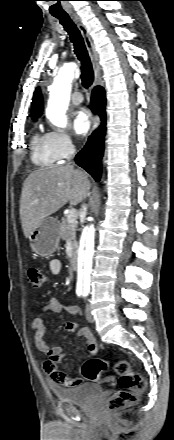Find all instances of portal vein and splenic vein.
Masks as SVG:
<instances>
[{"label":"portal vein and splenic vein","mask_w":174,"mask_h":440,"mask_svg":"<svg viewBox=\"0 0 174 440\" xmlns=\"http://www.w3.org/2000/svg\"><path fill=\"white\" fill-rule=\"evenodd\" d=\"M77 217H78L77 210L74 208L70 209V211L67 215L68 223H74L76 221Z\"/></svg>","instance_id":"obj_1"}]
</instances>
